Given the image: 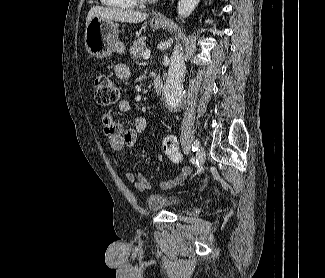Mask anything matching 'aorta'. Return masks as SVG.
Masks as SVG:
<instances>
[{"mask_svg":"<svg viewBox=\"0 0 325 278\" xmlns=\"http://www.w3.org/2000/svg\"><path fill=\"white\" fill-rule=\"evenodd\" d=\"M200 0H179L177 12L180 18H187L198 5ZM186 66L181 45H176L171 55L168 76L164 85L165 101L168 107L177 108L180 106L184 90L183 76Z\"/></svg>","mask_w":325,"mask_h":278,"instance_id":"762f6f07","label":"aorta"}]
</instances>
